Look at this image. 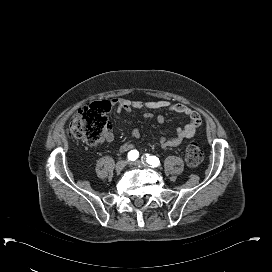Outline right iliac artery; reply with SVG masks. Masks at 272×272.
Returning a JSON list of instances; mask_svg holds the SVG:
<instances>
[{"label": "right iliac artery", "mask_w": 272, "mask_h": 272, "mask_svg": "<svg viewBox=\"0 0 272 272\" xmlns=\"http://www.w3.org/2000/svg\"><path fill=\"white\" fill-rule=\"evenodd\" d=\"M139 157V152L137 150H131L128 153V159L130 161H135Z\"/></svg>", "instance_id": "obj_1"}]
</instances>
